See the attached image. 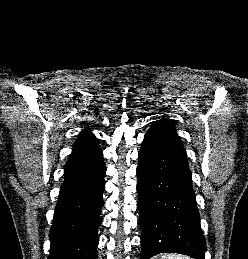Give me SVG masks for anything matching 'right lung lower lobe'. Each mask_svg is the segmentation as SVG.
Instances as JSON below:
<instances>
[{
	"instance_id": "right-lung-lower-lobe-1",
	"label": "right lung lower lobe",
	"mask_w": 248,
	"mask_h": 259,
	"mask_svg": "<svg viewBox=\"0 0 248 259\" xmlns=\"http://www.w3.org/2000/svg\"><path fill=\"white\" fill-rule=\"evenodd\" d=\"M106 167L102 151L80 161L66 163L54 221L48 259H98V227L104 205Z\"/></svg>"
}]
</instances>
